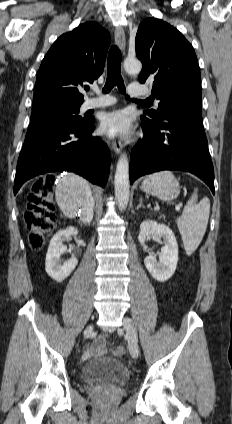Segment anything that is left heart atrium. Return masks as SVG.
<instances>
[{
	"label": "left heart atrium",
	"mask_w": 232,
	"mask_h": 424,
	"mask_svg": "<svg viewBox=\"0 0 232 424\" xmlns=\"http://www.w3.org/2000/svg\"><path fill=\"white\" fill-rule=\"evenodd\" d=\"M101 131L111 138H126L132 131L131 116L126 111H114L103 115Z\"/></svg>",
	"instance_id": "obj_1"
}]
</instances>
